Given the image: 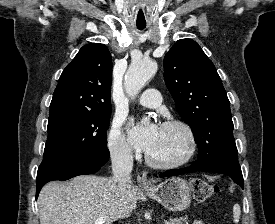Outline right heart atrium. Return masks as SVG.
Masks as SVG:
<instances>
[{"label": "right heart atrium", "instance_id": "1", "mask_svg": "<svg viewBox=\"0 0 275 224\" xmlns=\"http://www.w3.org/2000/svg\"><path fill=\"white\" fill-rule=\"evenodd\" d=\"M108 148L110 153L119 159H131L132 150L124 136L122 122L115 120L108 135Z\"/></svg>", "mask_w": 275, "mask_h": 224}]
</instances>
